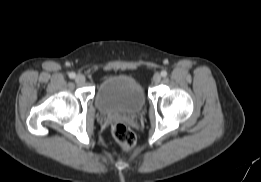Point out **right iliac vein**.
I'll use <instances>...</instances> for the list:
<instances>
[{"label":"right iliac vein","instance_id":"63e3f726","mask_svg":"<svg viewBox=\"0 0 261 182\" xmlns=\"http://www.w3.org/2000/svg\"><path fill=\"white\" fill-rule=\"evenodd\" d=\"M75 80H76V82H77L78 84H84L85 81H86V78H85L84 75L78 74V75L76 76Z\"/></svg>","mask_w":261,"mask_h":182}]
</instances>
